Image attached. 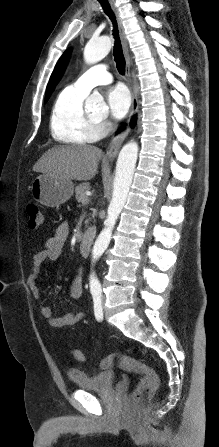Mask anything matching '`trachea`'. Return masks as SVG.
Instances as JSON below:
<instances>
[{
    "label": "trachea",
    "instance_id": "trachea-1",
    "mask_svg": "<svg viewBox=\"0 0 219 447\" xmlns=\"http://www.w3.org/2000/svg\"><path fill=\"white\" fill-rule=\"evenodd\" d=\"M103 9L104 12L109 16V18L111 19L114 29H113V35L115 38V44H114V51H113V55H114V59L116 61V67L118 69V72L121 75L125 74V58L123 55V51H122V45H121V41L119 38V33H118V25H117V21H116V17L112 11V9L110 8V5L108 3L107 0H98Z\"/></svg>",
    "mask_w": 219,
    "mask_h": 447
}]
</instances>
